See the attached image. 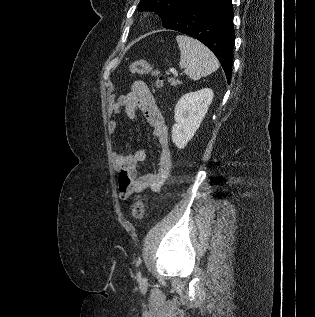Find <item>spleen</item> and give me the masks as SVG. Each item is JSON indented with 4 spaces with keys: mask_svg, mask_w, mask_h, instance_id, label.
<instances>
[{
    "mask_svg": "<svg viewBox=\"0 0 315 317\" xmlns=\"http://www.w3.org/2000/svg\"><path fill=\"white\" fill-rule=\"evenodd\" d=\"M180 49V67L188 71L192 80H198L215 72L219 62L215 55L201 42L185 35L176 37Z\"/></svg>",
    "mask_w": 315,
    "mask_h": 317,
    "instance_id": "spleen-1",
    "label": "spleen"
}]
</instances>
